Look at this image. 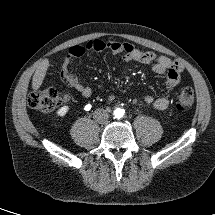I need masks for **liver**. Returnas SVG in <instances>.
<instances>
[{"mask_svg": "<svg viewBox=\"0 0 215 215\" xmlns=\"http://www.w3.org/2000/svg\"><path fill=\"white\" fill-rule=\"evenodd\" d=\"M48 67H49L48 59H43L41 62L37 64L36 71L32 79V88L34 91L38 90L39 87L41 86Z\"/></svg>", "mask_w": 215, "mask_h": 215, "instance_id": "obj_1", "label": "liver"}]
</instances>
